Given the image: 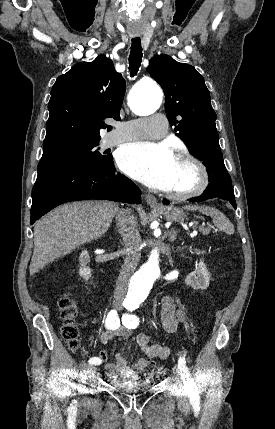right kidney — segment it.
<instances>
[{"label": "right kidney", "mask_w": 275, "mask_h": 429, "mask_svg": "<svg viewBox=\"0 0 275 429\" xmlns=\"http://www.w3.org/2000/svg\"><path fill=\"white\" fill-rule=\"evenodd\" d=\"M79 261L81 265L79 275L87 281L91 277L92 272V270L87 266V264L90 262V257L87 250L82 251L79 256Z\"/></svg>", "instance_id": "obj_1"}]
</instances>
